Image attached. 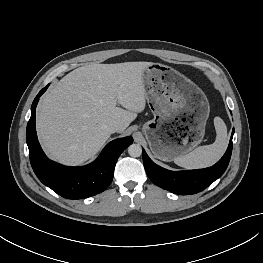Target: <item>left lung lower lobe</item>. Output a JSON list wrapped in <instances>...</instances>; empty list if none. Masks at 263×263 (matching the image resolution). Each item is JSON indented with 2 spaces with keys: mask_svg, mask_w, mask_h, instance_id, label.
Returning a JSON list of instances; mask_svg holds the SVG:
<instances>
[{
  "mask_svg": "<svg viewBox=\"0 0 263 263\" xmlns=\"http://www.w3.org/2000/svg\"><path fill=\"white\" fill-rule=\"evenodd\" d=\"M232 131L227 151L223 157L212 167L198 170L170 171L155 164L143 149V163L150 180L157 186L179 195L198 193L225 172L232 153Z\"/></svg>",
  "mask_w": 263,
  "mask_h": 263,
  "instance_id": "0a47b994",
  "label": "left lung lower lobe"
}]
</instances>
